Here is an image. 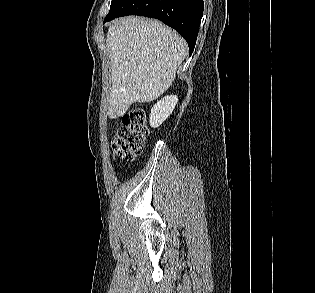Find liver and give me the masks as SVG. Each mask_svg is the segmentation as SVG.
I'll return each mask as SVG.
<instances>
[{
    "label": "liver",
    "mask_w": 315,
    "mask_h": 293,
    "mask_svg": "<svg viewBox=\"0 0 315 293\" xmlns=\"http://www.w3.org/2000/svg\"><path fill=\"white\" fill-rule=\"evenodd\" d=\"M106 43L111 63L112 89L108 116H123L135 102H150L175 79L188 46L174 30L153 19L135 16L115 20Z\"/></svg>",
    "instance_id": "1"
}]
</instances>
